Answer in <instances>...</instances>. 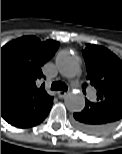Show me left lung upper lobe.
<instances>
[{
  "instance_id": "left-lung-upper-lobe-1",
  "label": "left lung upper lobe",
  "mask_w": 122,
  "mask_h": 154,
  "mask_svg": "<svg viewBox=\"0 0 122 154\" xmlns=\"http://www.w3.org/2000/svg\"><path fill=\"white\" fill-rule=\"evenodd\" d=\"M87 79L97 90V102L122 100V61L105 47L87 44L82 51ZM86 84H83L85 93Z\"/></svg>"
}]
</instances>
